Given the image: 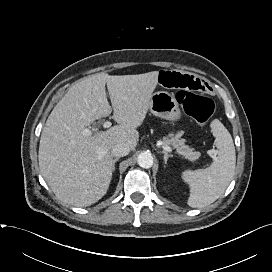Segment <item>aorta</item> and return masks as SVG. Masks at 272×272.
<instances>
[{
    "label": "aorta",
    "instance_id": "762f6f07",
    "mask_svg": "<svg viewBox=\"0 0 272 272\" xmlns=\"http://www.w3.org/2000/svg\"><path fill=\"white\" fill-rule=\"evenodd\" d=\"M137 162L140 167L148 169L153 166V156L149 152H141L137 157Z\"/></svg>",
    "mask_w": 272,
    "mask_h": 272
}]
</instances>
